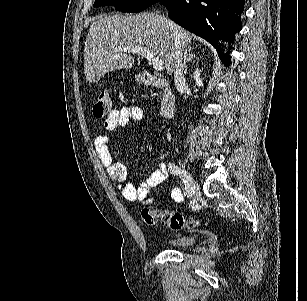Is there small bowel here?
<instances>
[{"label":"small bowel","mask_w":307,"mask_h":301,"mask_svg":"<svg viewBox=\"0 0 307 301\" xmlns=\"http://www.w3.org/2000/svg\"><path fill=\"white\" fill-rule=\"evenodd\" d=\"M130 121H144V113L140 107L131 105L113 109L105 119L103 129L97 133L94 145L102 164L107 168L108 175L116 183L121 195L129 201H141L149 204L153 201L150 196L151 190L165 182L170 171L167 165L161 162L138 187L126 183V168L123 164L114 162L107 132L123 128ZM170 198L175 203L182 202V190L174 187L171 190Z\"/></svg>","instance_id":"small-bowel-1"}]
</instances>
